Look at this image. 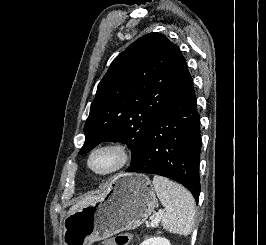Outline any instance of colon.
<instances>
[{"label": "colon", "instance_id": "obj_1", "mask_svg": "<svg viewBox=\"0 0 266 245\" xmlns=\"http://www.w3.org/2000/svg\"><path fill=\"white\" fill-rule=\"evenodd\" d=\"M130 232H121L114 237V245H128Z\"/></svg>", "mask_w": 266, "mask_h": 245}]
</instances>
